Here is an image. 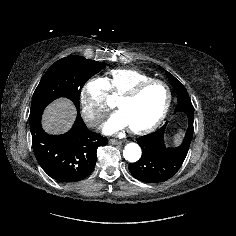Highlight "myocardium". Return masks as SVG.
Returning <instances> with one entry per match:
<instances>
[{
	"mask_svg": "<svg viewBox=\"0 0 236 236\" xmlns=\"http://www.w3.org/2000/svg\"><path fill=\"white\" fill-rule=\"evenodd\" d=\"M153 84H160L163 85L167 91V102L165 104V106L163 107L161 113L159 114V116L149 125L141 127V128H133V127H129V130L137 135H143V134H147L149 132H152L153 130H155L164 120V118L166 117L171 104H172V90L170 88V86L163 80L160 79H150L147 80L145 82H142L138 85H136L134 88H132L130 91H128L127 93L121 95L118 98L117 101V108L119 109L120 105L123 103H127L130 101H133L134 99H136L146 88H148L149 86L153 85Z\"/></svg>",
	"mask_w": 236,
	"mask_h": 236,
	"instance_id": "obj_1",
	"label": "myocardium"
}]
</instances>
